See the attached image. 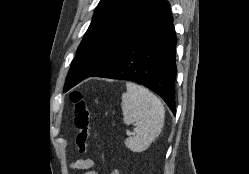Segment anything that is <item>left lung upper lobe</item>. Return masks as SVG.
<instances>
[{"label": "left lung upper lobe", "instance_id": "left-lung-upper-lobe-1", "mask_svg": "<svg viewBox=\"0 0 249 174\" xmlns=\"http://www.w3.org/2000/svg\"><path fill=\"white\" fill-rule=\"evenodd\" d=\"M166 0H101L68 72L64 92L109 61L165 5Z\"/></svg>", "mask_w": 249, "mask_h": 174}]
</instances>
